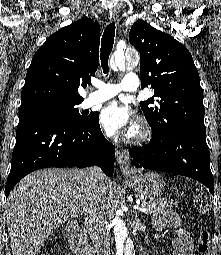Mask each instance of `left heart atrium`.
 I'll list each match as a JSON object with an SVG mask.
<instances>
[{
	"instance_id": "1",
	"label": "left heart atrium",
	"mask_w": 221,
	"mask_h": 255,
	"mask_svg": "<svg viewBox=\"0 0 221 255\" xmlns=\"http://www.w3.org/2000/svg\"><path fill=\"white\" fill-rule=\"evenodd\" d=\"M100 122L105 131L112 135L132 126L131 112L126 106L113 101L101 110Z\"/></svg>"
}]
</instances>
